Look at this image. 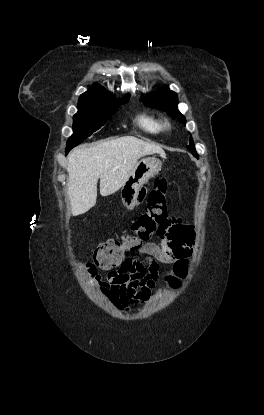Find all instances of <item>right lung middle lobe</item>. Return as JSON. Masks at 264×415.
Returning <instances> with one entry per match:
<instances>
[{"label":"right lung middle lobe","instance_id":"right-lung-middle-lobe-1","mask_svg":"<svg viewBox=\"0 0 264 415\" xmlns=\"http://www.w3.org/2000/svg\"><path fill=\"white\" fill-rule=\"evenodd\" d=\"M128 99L129 96L122 100L115 97L79 99L78 112L73 117V135L67 141L66 152L100 129Z\"/></svg>","mask_w":264,"mask_h":415}]
</instances>
